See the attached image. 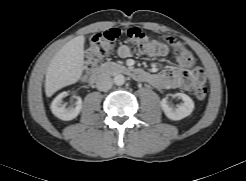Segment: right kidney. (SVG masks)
Returning a JSON list of instances; mask_svg holds the SVG:
<instances>
[{
    "mask_svg": "<svg viewBox=\"0 0 246 181\" xmlns=\"http://www.w3.org/2000/svg\"><path fill=\"white\" fill-rule=\"evenodd\" d=\"M67 96V92L60 93L50 106L52 113L61 120L69 121L78 116L82 108V100L77 97L74 107H65L62 105V98Z\"/></svg>",
    "mask_w": 246,
    "mask_h": 181,
    "instance_id": "right-kidney-1",
    "label": "right kidney"
}]
</instances>
